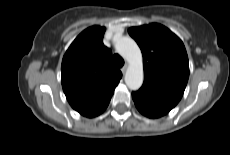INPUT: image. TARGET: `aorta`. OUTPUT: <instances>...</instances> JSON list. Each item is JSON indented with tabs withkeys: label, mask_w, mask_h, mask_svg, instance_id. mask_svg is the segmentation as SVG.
Instances as JSON below:
<instances>
[{
	"label": "aorta",
	"mask_w": 230,
	"mask_h": 155,
	"mask_svg": "<svg viewBox=\"0 0 230 155\" xmlns=\"http://www.w3.org/2000/svg\"><path fill=\"white\" fill-rule=\"evenodd\" d=\"M115 49L129 63L125 74L126 85L130 90H138L144 78L140 48L132 38L123 36L115 42Z\"/></svg>",
	"instance_id": "762f6f07"
}]
</instances>
